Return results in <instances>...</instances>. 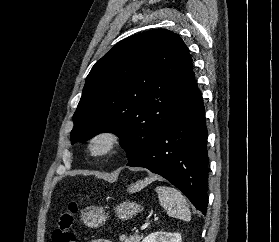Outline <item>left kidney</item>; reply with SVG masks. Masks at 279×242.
Listing matches in <instances>:
<instances>
[{
    "mask_svg": "<svg viewBox=\"0 0 279 242\" xmlns=\"http://www.w3.org/2000/svg\"><path fill=\"white\" fill-rule=\"evenodd\" d=\"M142 242H182L180 233L157 231L145 237Z\"/></svg>",
    "mask_w": 279,
    "mask_h": 242,
    "instance_id": "obj_1",
    "label": "left kidney"
}]
</instances>
